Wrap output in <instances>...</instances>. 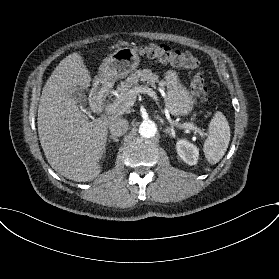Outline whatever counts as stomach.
<instances>
[{"mask_svg": "<svg viewBox=\"0 0 279 279\" xmlns=\"http://www.w3.org/2000/svg\"><path fill=\"white\" fill-rule=\"evenodd\" d=\"M141 58L133 47H120L108 56L100 66L99 76L106 83L125 78L140 66ZM163 84L166 86L164 105L166 110L175 117H188L194 111L197 101L192 92L183 84L180 74L173 68L162 73Z\"/></svg>", "mask_w": 279, "mask_h": 279, "instance_id": "1", "label": "stomach"}]
</instances>
